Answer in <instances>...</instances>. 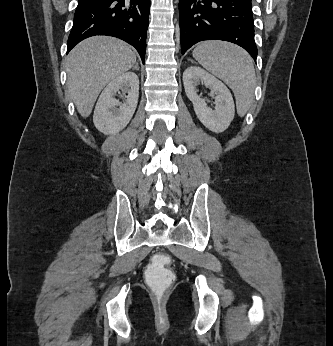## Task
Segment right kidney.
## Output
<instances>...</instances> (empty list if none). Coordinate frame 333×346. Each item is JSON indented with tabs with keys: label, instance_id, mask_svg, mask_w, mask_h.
Segmentation results:
<instances>
[{
	"label": "right kidney",
	"instance_id": "obj_1",
	"mask_svg": "<svg viewBox=\"0 0 333 346\" xmlns=\"http://www.w3.org/2000/svg\"><path fill=\"white\" fill-rule=\"evenodd\" d=\"M122 90L128 95L123 103L115 99ZM139 79L133 72H126L111 81L101 93L93 115L95 127L108 135L124 129L131 120L138 103Z\"/></svg>",
	"mask_w": 333,
	"mask_h": 346
}]
</instances>
